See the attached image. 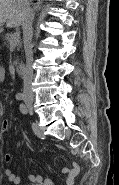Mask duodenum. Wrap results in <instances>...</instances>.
<instances>
[{
	"label": "duodenum",
	"instance_id": "1",
	"mask_svg": "<svg viewBox=\"0 0 119 185\" xmlns=\"http://www.w3.org/2000/svg\"><path fill=\"white\" fill-rule=\"evenodd\" d=\"M17 73H18V75L20 77H22V78L25 77L26 74H27V67H26V65L25 64H19L17 66Z\"/></svg>",
	"mask_w": 119,
	"mask_h": 185
}]
</instances>
